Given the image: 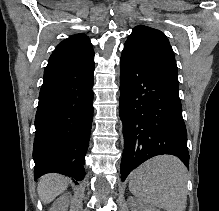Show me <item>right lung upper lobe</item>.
<instances>
[{"mask_svg":"<svg viewBox=\"0 0 219 211\" xmlns=\"http://www.w3.org/2000/svg\"><path fill=\"white\" fill-rule=\"evenodd\" d=\"M91 59H94V52L89 38L84 34H76L58 44L48 64L79 63Z\"/></svg>","mask_w":219,"mask_h":211,"instance_id":"cb5924a9","label":"right lung upper lobe"}]
</instances>
